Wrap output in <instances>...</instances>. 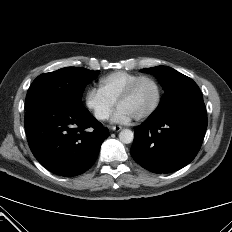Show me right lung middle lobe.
Masks as SVG:
<instances>
[{
  "label": "right lung middle lobe",
  "mask_w": 232,
  "mask_h": 232,
  "mask_svg": "<svg viewBox=\"0 0 232 232\" xmlns=\"http://www.w3.org/2000/svg\"><path fill=\"white\" fill-rule=\"evenodd\" d=\"M99 71L81 67H66L39 75L31 84L25 101V109L38 103H57L79 106L88 82Z\"/></svg>",
  "instance_id": "obj_1"
}]
</instances>
